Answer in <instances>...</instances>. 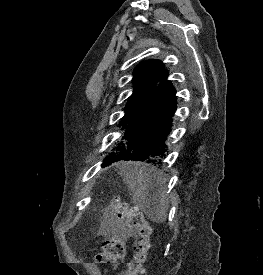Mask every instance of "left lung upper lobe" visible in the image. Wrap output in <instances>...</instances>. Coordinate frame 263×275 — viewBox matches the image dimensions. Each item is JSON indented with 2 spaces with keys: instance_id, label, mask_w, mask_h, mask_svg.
<instances>
[{
  "instance_id": "left-lung-upper-lobe-1",
  "label": "left lung upper lobe",
  "mask_w": 263,
  "mask_h": 275,
  "mask_svg": "<svg viewBox=\"0 0 263 275\" xmlns=\"http://www.w3.org/2000/svg\"><path fill=\"white\" fill-rule=\"evenodd\" d=\"M165 73L163 63L158 60L142 62L135 68L132 79L135 88L125 107V115L119 124L120 126L129 118L144 97L157 86Z\"/></svg>"
}]
</instances>
